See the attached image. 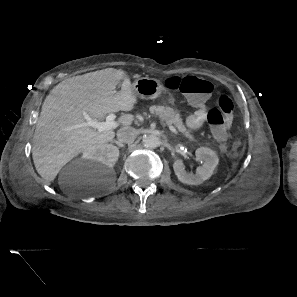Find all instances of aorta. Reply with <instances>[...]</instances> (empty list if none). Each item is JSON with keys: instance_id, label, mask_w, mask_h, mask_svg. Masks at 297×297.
Returning <instances> with one entry per match:
<instances>
[{"instance_id": "762f6f07", "label": "aorta", "mask_w": 297, "mask_h": 297, "mask_svg": "<svg viewBox=\"0 0 297 297\" xmlns=\"http://www.w3.org/2000/svg\"><path fill=\"white\" fill-rule=\"evenodd\" d=\"M143 144L146 148L154 149L160 145V140L155 135H149L143 139Z\"/></svg>"}]
</instances>
